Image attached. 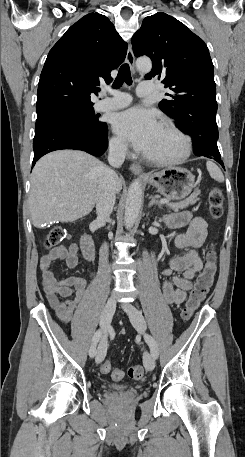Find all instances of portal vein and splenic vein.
Returning <instances> with one entry per match:
<instances>
[{
	"instance_id": "obj_1",
	"label": "portal vein and splenic vein",
	"mask_w": 245,
	"mask_h": 457,
	"mask_svg": "<svg viewBox=\"0 0 245 457\" xmlns=\"http://www.w3.org/2000/svg\"><path fill=\"white\" fill-rule=\"evenodd\" d=\"M160 202H169L168 198H161Z\"/></svg>"
}]
</instances>
